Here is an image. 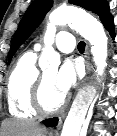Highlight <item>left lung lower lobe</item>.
I'll list each match as a JSON object with an SVG mask.
<instances>
[{
  "label": "left lung lower lobe",
  "instance_id": "1",
  "mask_svg": "<svg viewBox=\"0 0 117 136\" xmlns=\"http://www.w3.org/2000/svg\"><path fill=\"white\" fill-rule=\"evenodd\" d=\"M104 27L109 30L110 32V35L114 38V31H113V18L110 16L108 17L104 22H102ZM57 123V119L54 118V119H50V120H47V121H44V124L47 126V127H53L55 126Z\"/></svg>",
  "mask_w": 117,
  "mask_h": 136
}]
</instances>
